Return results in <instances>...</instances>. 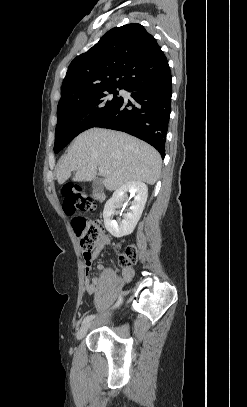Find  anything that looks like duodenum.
Instances as JSON below:
<instances>
[{
    "label": "duodenum",
    "mask_w": 247,
    "mask_h": 407,
    "mask_svg": "<svg viewBox=\"0 0 247 407\" xmlns=\"http://www.w3.org/2000/svg\"><path fill=\"white\" fill-rule=\"evenodd\" d=\"M94 197L97 202H102L104 200V195L102 193H95Z\"/></svg>",
    "instance_id": "duodenum-1"
}]
</instances>
